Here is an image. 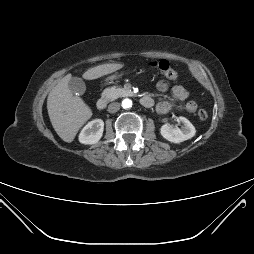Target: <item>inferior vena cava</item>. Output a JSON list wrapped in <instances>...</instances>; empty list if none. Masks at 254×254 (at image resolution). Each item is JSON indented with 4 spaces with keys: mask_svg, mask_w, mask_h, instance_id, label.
Segmentation results:
<instances>
[{
    "mask_svg": "<svg viewBox=\"0 0 254 254\" xmlns=\"http://www.w3.org/2000/svg\"><path fill=\"white\" fill-rule=\"evenodd\" d=\"M119 108H120V104L118 102L111 103L108 106V112L115 113L119 110Z\"/></svg>",
    "mask_w": 254,
    "mask_h": 254,
    "instance_id": "inferior-vena-cava-1",
    "label": "inferior vena cava"
}]
</instances>
